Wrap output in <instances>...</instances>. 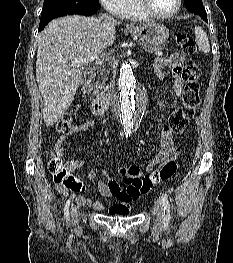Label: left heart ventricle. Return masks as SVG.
<instances>
[{"label":"left heart ventricle","instance_id":"left-heart-ventricle-1","mask_svg":"<svg viewBox=\"0 0 233 263\" xmlns=\"http://www.w3.org/2000/svg\"><path fill=\"white\" fill-rule=\"evenodd\" d=\"M150 7L158 13L171 12L176 6V0H147Z\"/></svg>","mask_w":233,"mask_h":263}]
</instances>
